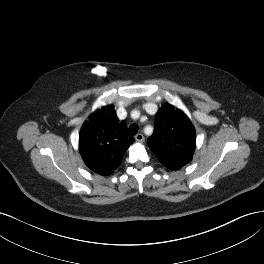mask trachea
<instances>
[{
	"label": "trachea",
	"instance_id": "3493384b",
	"mask_svg": "<svg viewBox=\"0 0 264 264\" xmlns=\"http://www.w3.org/2000/svg\"><path fill=\"white\" fill-rule=\"evenodd\" d=\"M128 132L130 133V135H136L138 132V127L136 124H131L128 128Z\"/></svg>",
	"mask_w": 264,
	"mask_h": 264
}]
</instances>
